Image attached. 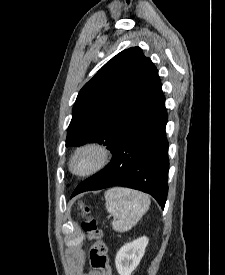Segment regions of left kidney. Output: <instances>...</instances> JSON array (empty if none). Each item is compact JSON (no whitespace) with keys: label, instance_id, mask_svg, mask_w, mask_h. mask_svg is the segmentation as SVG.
Segmentation results:
<instances>
[{"label":"left kidney","instance_id":"left-kidney-1","mask_svg":"<svg viewBox=\"0 0 225 275\" xmlns=\"http://www.w3.org/2000/svg\"><path fill=\"white\" fill-rule=\"evenodd\" d=\"M148 242L149 239L144 236L120 248L115 258L119 275H131L144 256Z\"/></svg>","mask_w":225,"mask_h":275}]
</instances>
